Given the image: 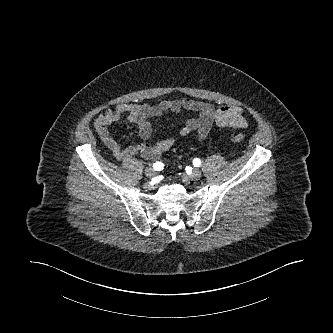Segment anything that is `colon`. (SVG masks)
I'll return each instance as SVG.
<instances>
[{"label":"colon","mask_w":333,"mask_h":333,"mask_svg":"<svg viewBox=\"0 0 333 333\" xmlns=\"http://www.w3.org/2000/svg\"><path fill=\"white\" fill-rule=\"evenodd\" d=\"M231 140L234 142V143H241L243 140H244V137L242 134L240 133H236V134H233L231 136Z\"/></svg>","instance_id":"1"}]
</instances>
